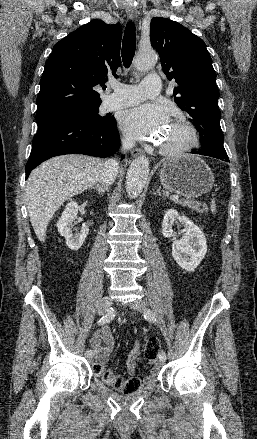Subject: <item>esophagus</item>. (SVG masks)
Masks as SVG:
<instances>
[{"label": "esophagus", "mask_w": 257, "mask_h": 439, "mask_svg": "<svg viewBox=\"0 0 257 439\" xmlns=\"http://www.w3.org/2000/svg\"><path fill=\"white\" fill-rule=\"evenodd\" d=\"M125 8H126L127 17L130 20H136V17H137V9H136V7H134L132 4H126ZM131 155L133 157H138V156L143 155V151L141 149L136 148V149H133L131 151Z\"/></svg>", "instance_id": "obj_1"}]
</instances>
